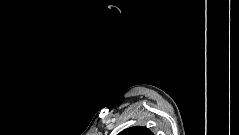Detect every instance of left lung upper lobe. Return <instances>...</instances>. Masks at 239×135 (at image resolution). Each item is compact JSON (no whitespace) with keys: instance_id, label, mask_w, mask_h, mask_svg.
<instances>
[{"instance_id":"obj_1","label":"left lung upper lobe","mask_w":239,"mask_h":135,"mask_svg":"<svg viewBox=\"0 0 239 135\" xmlns=\"http://www.w3.org/2000/svg\"><path fill=\"white\" fill-rule=\"evenodd\" d=\"M118 135H153V133L145 127L134 126L123 130Z\"/></svg>"}]
</instances>
